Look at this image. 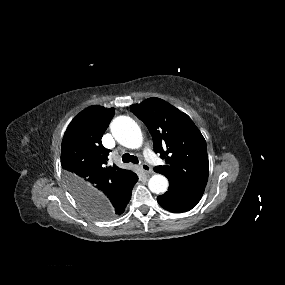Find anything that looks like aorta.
<instances>
[{"label": "aorta", "mask_w": 285, "mask_h": 285, "mask_svg": "<svg viewBox=\"0 0 285 285\" xmlns=\"http://www.w3.org/2000/svg\"><path fill=\"white\" fill-rule=\"evenodd\" d=\"M111 132L115 139L123 146L137 149L143 143L142 132L138 124L128 116H118L111 123ZM151 192L161 194L168 188V179L161 175H153L148 182Z\"/></svg>", "instance_id": "aorta-1"}]
</instances>
